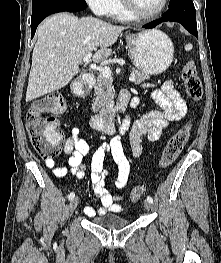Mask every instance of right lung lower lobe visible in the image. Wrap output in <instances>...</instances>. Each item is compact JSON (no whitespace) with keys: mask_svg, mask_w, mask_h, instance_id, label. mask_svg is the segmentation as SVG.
Listing matches in <instances>:
<instances>
[{"mask_svg":"<svg viewBox=\"0 0 221 263\" xmlns=\"http://www.w3.org/2000/svg\"><path fill=\"white\" fill-rule=\"evenodd\" d=\"M87 8V4L84 0L81 1H69V2H60L54 3L42 8H39L35 11H32L31 17V38H33L36 28L39 23L47 16L58 13V12H77Z\"/></svg>","mask_w":221,"mask_h":263,"instance_id":"right-lung-lower-lobe-1","label":"right lung lower lobe"}]
</instances>
